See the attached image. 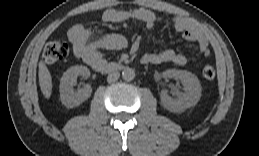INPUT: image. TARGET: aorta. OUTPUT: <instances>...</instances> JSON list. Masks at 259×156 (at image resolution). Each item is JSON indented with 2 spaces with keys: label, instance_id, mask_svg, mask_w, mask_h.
<instances>
[{
  "label": "aorta",
  "instance_id": "1",
  "mask_svg": "<svg viewBox=\"0 0 259 156\" xmlns=\"http://www.w3.org/2000/svg\"><path fill=\"white\" fill-rule=\"evenodd\" d=\"M122 77L125 81H132L135 78L134 69L127 67L122 72Z\"/></svg>",
  "mask_w": 259,
  "mask_h": 156
}]
</instances>
